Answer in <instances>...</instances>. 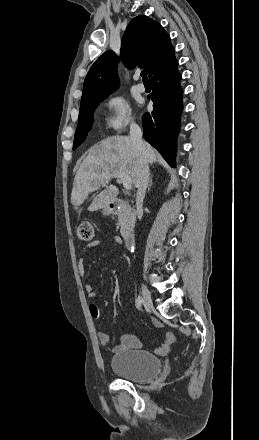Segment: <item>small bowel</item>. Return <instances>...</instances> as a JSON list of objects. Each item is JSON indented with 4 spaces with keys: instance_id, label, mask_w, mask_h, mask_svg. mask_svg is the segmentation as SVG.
Instances as JSON below:
<instances>
[{
    "instance_id": "1",
    "label": "small bowel",
    "mask_w": 259,
    "mask_h": 440,
    "mask_svg": "<svg viewBox=\"0 0 259 440\" xmlns=\"http://www.w3.org/2000/svg\"><path fill=\"white\" fill-rule=\"evenodd\" d=\"M113 241L117 244H120L122 242V240L119 236H114ZM101 244H102L101 240H94V241L90 242L89 244H87L85 247L82 248L81 254H80V257L78 260L79 275L84 282V288H85V292H86V295L88 298H93L96 295V293L93 290L91 284H89L86 281V275H85V269H84V254L87 250L94 248V247H97V246H100ZM89 313L92 318H94V319L98 318L100 315L99 307L94 303L90 304L89 305ZM153 324L158 328L161 327V323L156 319H153ZM97 338H98L99 342L104 345H107L110 340L109 335L106 334L105 332H102V331L97 333ZM173 342H174V336L171 333L166 334V336L163 339L162 345L156 349V353L165 354L169 350V348ZM141 346H142V342L138 336L125 335V336H123L121 343L118 346L114 347L112 349V351H118V350L125 349V348H138Z\"/></svg>"
}]
</instances>
